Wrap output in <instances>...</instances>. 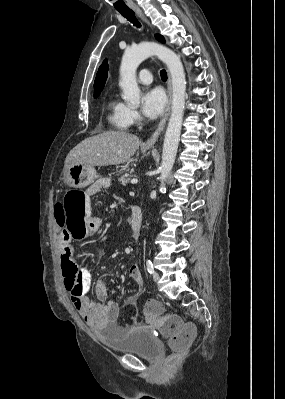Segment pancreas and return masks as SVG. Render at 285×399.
<instances>
[{
    "label": "pancreas",
    "mask_w": 285,
    "mask_h": 399,
    "mask_svg": "<svg viewBox=\"0 0 285 399\" xmlns=\"http://www.w3.org/2000/svg\"><path fill=\"white\" fill-rule=\"evenodd\" d=\"M128 181H129V174L128 173H125L124 175H122L119 178V182H121V184H123V185H126L128 183Z\"/></svg>",
    "instance_id": "1"
}]
</instances>
